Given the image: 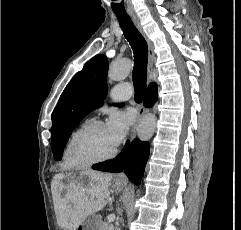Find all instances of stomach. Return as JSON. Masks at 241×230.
Returning a JSON list of instances; mask_svg holds the SVG:
<instances>
[{
	"instance_id": "1",
	"label": "stomach",
	"mask_w": 241,
	"mask_h": 230,
	"mask_svg": "<svg viewBox=\"0 0 241 230\" xmlns=\"http://www.w3.org/2000/svg\"><path fill=\"white\" fill-rule=\"evenodd\" d=\"M77 181H81L80 183L84 184L85 182H90L91 178L88 175H79V177H77ZM123 185H124L123 182L115 181L112 184V188L115 191H120ZM99 228H100L99 220L94 216H90V217H87L82 222V224L77 227L76 230H99Z\"/></svg>"
}]
</instances>
